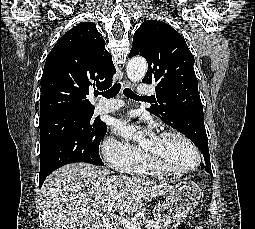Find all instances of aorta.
<instances>
[{
    "instance_id": "762f6f07",
    "label": "aorta",
    "mask_w": 255,
    "mask_h": 229,
    "mask_svg": "<svg viewBox=\"0 0 255 229\" xmlns=\"http://www.w3.org/2000/svg\"><path fill=\"white\" fill-rule=\"evenodd\" d=\"M147 67L148 65L144 58L142 57L132 58L126 66L128 78L132 82L141 81L146 74ZM139 137H140L139 133L134 136L135 139H138Z\"/></svg>"
}]
</instances>
